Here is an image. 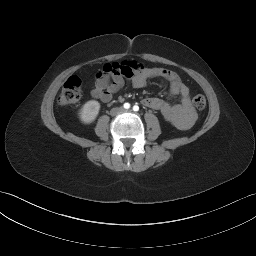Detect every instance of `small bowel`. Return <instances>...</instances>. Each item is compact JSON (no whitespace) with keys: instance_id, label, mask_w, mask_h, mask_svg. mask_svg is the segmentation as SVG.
I'll use <instances>...</instances> for the list:
<instances>
[{"instance_id":"1","label":"small bowel","mask_w":256,"mask_h":256,"mask_svg":"<svg viewBox=\"0 0 256 256\" xmlns=\"http://www.w3.org/2000/svg\"><path fill=\"white\" fill-rule=\"evenodd\" d=\"M125 77L130 80L135 88L145 87L151 78L161 77L166 79L169 82V98L178 95L180 96V103L172 104L160 98L147 97L142 100V104L160 112L165 120L177 129L186 130L194 124L196 113L192 108L189 87L182 82L180 76L173 70L161 67H145L138 64V69L134 70L129 76L117 73L110 77L97 79L91 90V96L103 103L110 102L113 95L124 86Z\"/></svg>"}]
</instances>
